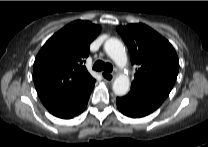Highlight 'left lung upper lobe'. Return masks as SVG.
I'll list each match as a JSON object with an SVG mask.
<instances>
[{
	"label": "left lung upper lobe",
	"mask_w": 208,
	"mask_h": 147,
	"mask_svg": "<svg viewBox=\"0 0 208 147\" xmlns=\"http://www.w3.org/2000/svg\"><path fill=\"white\" fill-rule=\"evenodd\" d=\"M132 64L139 66L131 86L167 98L176 81L179 60L173 46L150 27L137 23L117 27Z\"/></svg>",
	"instance_id": "obj_1"
}]
</instances>
